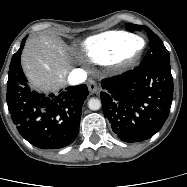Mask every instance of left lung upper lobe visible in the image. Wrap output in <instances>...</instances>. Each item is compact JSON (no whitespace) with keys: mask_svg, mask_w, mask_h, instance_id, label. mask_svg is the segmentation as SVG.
<instances>
[{"mask_svg":"<svg viewBox=\"0 0 187 187\" xmlns=\"http://www.w3.org/2000/svg\"><path fill=\"white\" fill-rule=\"evenodd\" d=\"M126 29L129 31L145 30L147 32L150 40V50L142 60L141 65L170 64L169 52L165 48L162 40L147 26L128 23L126 24Z\"/></svg>","mask_w":187,"mask_h":187,"instance_id":"1","label":"left lung upper lobe"}]
</instances>
